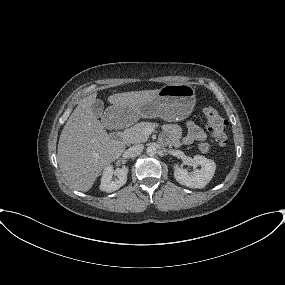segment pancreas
I'll return each mask as SVG.
<instances>
[{"label":"pancreas","mask_w":285,"mask_h":285,"mask_svg":"<svg viewBox=\"0 0 285 285\" xmlns=\"http://www.w3.org/2000/svg\"><path fill=\"white\" fill-rule=\"evenodd\" d=\"M156 123L153 122H139L134 126L126 129L123 133V138L127 144H136L146 142L149 136L145 133L147 129L155 128Z\"/></svg>","instance_id":"1"}]
</instances>
